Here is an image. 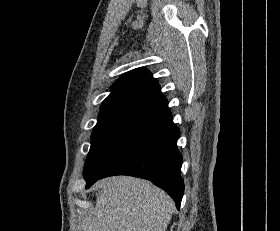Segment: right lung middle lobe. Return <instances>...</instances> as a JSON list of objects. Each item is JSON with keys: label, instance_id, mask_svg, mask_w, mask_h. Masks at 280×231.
Here are the masks:
<instances>
[{"label": "right lung middle lobe", "instance_id": "right-lung-middle-lobe-1", "mask_svg": "<svg viewBox=\"0 0 280 231\" xmlns=\"http://www.w3.org/2000/svg\"><path fill=\"white\" fill-rule=\"evenodd\" d=\"M132 126L134 124L126 120H98L91 135V147L85 161L84 169L101 149Z\"/></svg>", "mask_w": 280, "mask_h": 231}]
</instances>
